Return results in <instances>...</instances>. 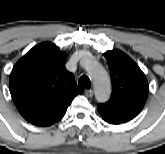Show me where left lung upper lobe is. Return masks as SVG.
<instances>
[{
  "mask_svg": "<svg viewBox=\"0 0 165 154\" xmlns=\"http://www.w3.org/2000/svg\"><path fill=\"white\" fill-rule=\"evenodd\" d=\"M110 69V100L97 109L109 123H124L135 118L146 102L149 85L139 66L125 53L113 49L104 53Z\"/></svg>",
  "mask_w": 165,
  "mask_h": 154,
  "instance_id": "obj_1",
  "label": "left lung upper lobe"
}]
</instances>
